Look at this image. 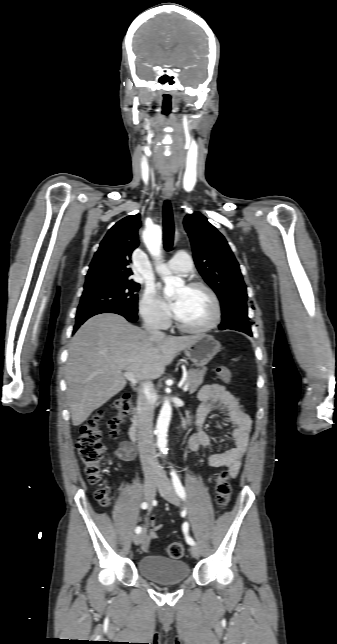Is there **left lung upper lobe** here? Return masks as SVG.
Returning a JSON list of instances; mask_svg holds the SVG:
<instances>
[{"label": "left lung upper lobe", "instance_id": "left-lung-upper-lobe-1", "mask_svg": "<svg viewBox=\"0 0 337 644\" xmlns=\"http://www.w3.org/2000/svg\"><path fill=\"white\" fill-rule=\"evenodd\" d=\"M184 227L191 241L196 267L220 300L222 323L219 328L252 336L246 285L226 239L199 212L186 215Z\"/></svg>", "mask_w": 337, "mask_h": 644}]
</instances>
